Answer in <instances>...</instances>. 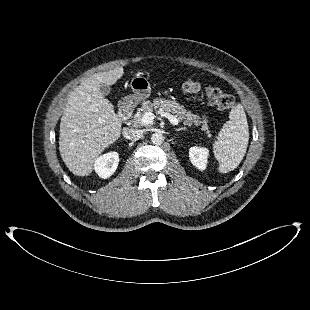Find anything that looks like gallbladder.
I'll use <instances>...</instances> for the list:
<instances>
[{
	"instance_id": "obj_1",
	"label": "gallbladder",
	"mask_w": 310,
	"mask_h": 310,
	"mask_svg": "<svg viewBox=\"0 0 310 310\" xmlns=\"http://www.w3.org/2000/svg\"><path fill=\"white\" fill-rule=\"evenodd\" d=\"M100 91L103 95H108L110 93V87L106 84H101L100 85Z\"/></svg>"
}]
</instances>
